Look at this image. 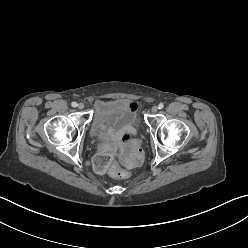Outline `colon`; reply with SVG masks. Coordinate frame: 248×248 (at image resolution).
<instances>
[{"instance_id":"obj_1","label":"colon","mask_w":248,"mask_h":248,"mask_svg":"<svg viewBox=\"0 0 248 248\" xmlns=\"http://www.w3.org/2000/svg\"><path fill=\"white\" fill-rule=\"evenodd\" d=\"M96 133L99 135L98 142L101 144L102 150V153L94 155L91 159V164L95 167L96 173L102 176L110 174L114 178L128 177V172L118 163L113 162L115 152L121 148L120 141H109V137L106 135L107 127L104 124L97 125Z\"/></svg>"}]
</instances>
